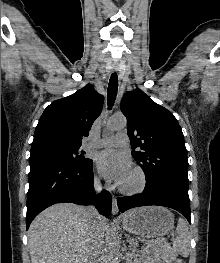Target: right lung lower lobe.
Here are the masks:
<instances>
[{"instance_id": "1", "label": "right lung lower lobe", "mask_w": 220, "mask_h": 263, "mask_svg": "<svg viewBox=\"0 0 220 263\" xmlns=\"http://www.w3.org/2000/svg\"><path fill=\"white\" fill-rule=\"evenodd\" d=\"M27 194L26 229L41 211L55 203L95 204L99 213L108 217L112 196L103 190L93 192V161L78 166L42 156H30Z\"/></svg>"}]
</instances>
